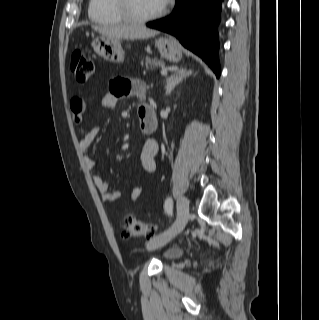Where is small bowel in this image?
Returning <instances> with one entry per match:
<instances>
[{
    "label": "small bowel",
    "mask_w": 319,
    "mask_h": 320,
    "mask_svg": "<svg viewBox=\"0 0 319 320\" xmlns=\"http://www.w3.org/2000/svg\"><path fill=\"white\" fill-rule=\"evenodd\" d=\"M146 86L144 82L140 80H133L128 78L116 77L110 81L109 92L106 93L100 100V106L104 110H112L119 99L136 96L139 97L142 101L139 105L138 112L149 104L145 101ZM71 111L74 116L76 123L80 124L82 121V114L84 111L83 101L76 97L70 103ZM99 134V128L94 127L90 130L83 131L82 137L79 142L81 151L85 156L86 166L90 171L95 169V161L89 156L88 150L91 147L92 143ZM159 151L158 143L154 139H147L142 147L139 162L141 167L152 173L156 170V159ZM94 183L99 190L102 200L106 203H112L116 201L120 196V191H111L107 182L100 176H93ZM142 193V189L139 186H134L128 196V201L137 200Z\"/></svg>",
    "instance_id": "small-bowel-1"
}]
</instances>
